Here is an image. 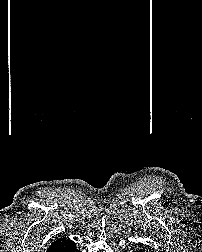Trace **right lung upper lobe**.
Segmentation results:
<instances>
[{"mask_svg":"<svg viewBox=\"0 0 202 252\" xmlns=\"http://www.w3.org/2000/svg\"><path fill=\"white\" fill-rule=\"evenodd\" d=\"M74 242L67 240L66 238H59L50 245L47 252H64L65 249L70 247Z\"/></svg>","mask_w":202,"mask_h":252,"instance_id":"obj_1","label":"right lung upper lobe"}]
</instances>
